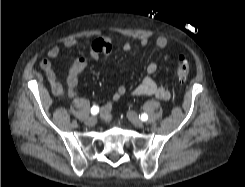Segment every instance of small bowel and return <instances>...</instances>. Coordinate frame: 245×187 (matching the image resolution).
Segmentation results:
<instances>
[{"mask_svg": "<svg viewBox=\"0 0 245 187\" xmlns=\"http://www.w3.org/2000/svg\"><path fill=\"white\" fill-rule=\"evenodd\" d=\"M139 42L142 46H146L149 43V38L147 36H141ZM156 46L159 49H163L168 45V39L164 36H159L155 41ZM76 45V40L70 39L64 43V47L71 49ZM114 47V41L108 37H100L94 40L88 51V56H82L76 59L68 70V75L66 79V91L69 96L77 95V85L79 82V76L88 66L89 58L96 59L99 57H109L112 53ZM123 49L128 51L131 49V45L128 42L123 44ZM60 54V48L54 46L49 49L46 58L40 61V68L44 72L46 79L50 85L51 91L55 96H62L65 93V88L58 81L57 75L53 69L51 59L58 57ZM171 58L170 53H165L162 55L161 60L167 61ZM158 64L153 61L147 65L146 76L143 80L130 90V93L136 96H154L160 100H169L171 98V93L168 89L163 86L158 85L153 79V75L157 71ZM128 89L120 85L116 88L115 92L111 95L110 100L102 105L101 113L105 120H110V113L113 104L119 100L120 97L125 95Z\"/></svg>", "mask_w": 245, "mask_h": 187, "instance_id": "obj_1", "label": "small bowel"}]
</instances>
